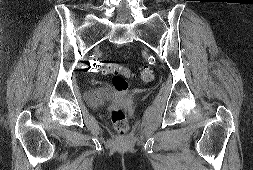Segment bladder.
Here are the masks:
<instances>
[{"label":"bladder","mask_w":253,"mask_h":170,"mask_svg":"<svg viewBox=\"0 0 253 170\" xmlns=\"http://www.w3.org/2000/svg\"><path fill=\"white\" fill-rule=\"evenodd\" d=\"M111 91L106 87H98L90 89L86 94L87 102L92 107H100L104 104L110 97Z\"/></svg>","instance_id":"bladder-1"}]
</instances>
